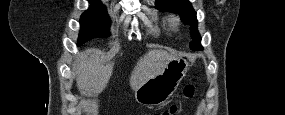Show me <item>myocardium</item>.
<instances>
[{
	"mask_svg": "<svg viewBox=\"0 0 285 115\" xmlns=\"http://www.w3.org/2000/svg\"><path fill=\"white\" fill-rule=\"evenodd\" d=\"M178 18L177 17H173V18H171V22H172V24L174 25V26H176V25H178Z\"/></svg>",
	"mask_w": 285,
	"mask_h": 115,
	"instance_id": "myocardium-1",
	"label": "myocardium"
}]
</instances>
